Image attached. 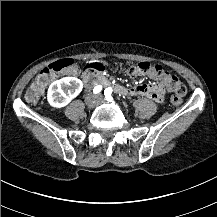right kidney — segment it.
Listing matches in <instances>:
<instances>
[{
    "instance_id": "right-kidney-1",
    "label": "right kidney",
    "mask_w": 217,
    "mask_h": 217,
    "mask_svg": "<svg viewBox=\"0 0 217 217\" xmlns=\"http://www.w3.org/2000/svg\"><path fill=\"white\" fill-rule=\"evenodd\" d=\"M83 90V82L76 77H63L48 88L47 102L52 108H63ZM67 93L69 95H67Z\"/></svg>"
}]
</instances>
